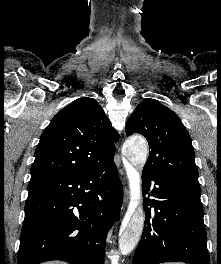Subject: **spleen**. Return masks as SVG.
I'll return each mask as SVG.
<instances>
[{
	"label": "spleen",
	"mask_w": 221,
	"mask_h": 264,
	"mask_svg": "<svg viewBox=\"0 0 221 264\" xmlns=\"http://www.w3.org/2000/svg\"><path fill=\"white\" fill-rule=\"evenodd\" d=\"M165 264H184V263H165Z\"/></svg>",
	"instance_id": "spleen-1"
}]
</instances>
